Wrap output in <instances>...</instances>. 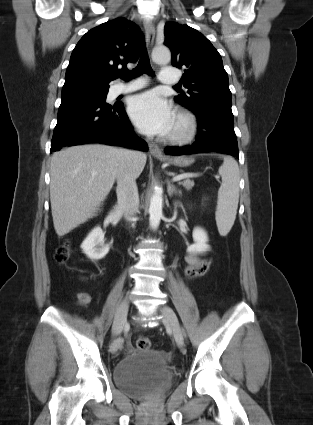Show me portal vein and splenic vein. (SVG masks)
Here are the masks:
<instances>
[{
	"mask_svg": "<svg viewBox=\"0 0 313 425\" xmlns=\"http://www.w3.org/2000/svg\"><path fill=\"white\" fill-rule=\"evenodd\" d=\"M198 176H199V174H197V173H184V174L174 176L172 180L174 182H176V181H180V180H183V179H186V178H193V177H198Z\"/></svg>",
	"mask_w": 313,
	"mask_h": 425,
	"instance_id": "18ae733b",
	"label": "portal vein and splenic vein"
}]
</instances>
